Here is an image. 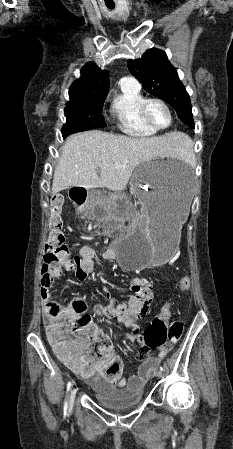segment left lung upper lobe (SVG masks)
Instances as JSON below:
<instances>
[{"label":"left lung upper lobe","mask_w":233,"mask_h":449,"mask_svg":"<svg viewBox=\"0 0 233 449\" xmlns=\"http://www.w3.org/2000/svg\"><path fill=\"white\" fill-rule=\"evenodd\" d=\"M128 68L148 93L169 103L187 126L195 127L189 95L165 52L150 49L141 58L129 60Z\"/></svg>","instance_id":"5c2ea615"}]
</instances>
